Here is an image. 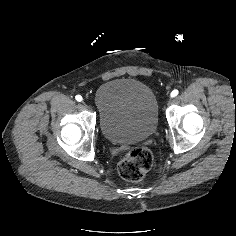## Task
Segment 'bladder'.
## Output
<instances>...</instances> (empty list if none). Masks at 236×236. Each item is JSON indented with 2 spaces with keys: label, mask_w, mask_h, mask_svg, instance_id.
<instances>
[{
  "label": "bladder",
  "mask_w": 236,
  "mask_h": 236,
  "mask_svg": "<svg viewBox=\"0 0 236 236\" xmlns=\"http://www.w3.org/2000/svg\"><path fill=\"white\" fill-rule=\"evenodd\" d=\"M94 102L101 132L111 143H137L157 129L158 101L152 89L141 81H107L96 91Z\"/></svg>",
  "instance_id": "1"
}]
</instances>
